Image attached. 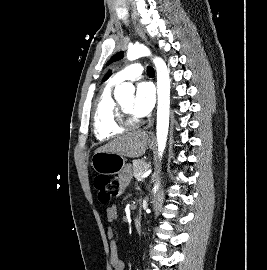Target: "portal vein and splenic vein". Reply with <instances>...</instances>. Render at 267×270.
Instances as JSON below:
<instances>
[{"instance_id": "portal-vein-and-splenic-vein-1", "label": "portal vein and splenic vein", "mask_w": 267, "mask_h": 270, "mask_svg": "<svg viewBox=\"0 0 267 270\" xmlns=\"http://www.w3.org/2000/svg\"><path fill=\"white\" fill-rule=\"evenodd\" d=\"M150 172H151V170H148V171L144 172L143 174H141V176L139 177V180L146 178L150 174Z\"/></svg>"}]
</instances>
